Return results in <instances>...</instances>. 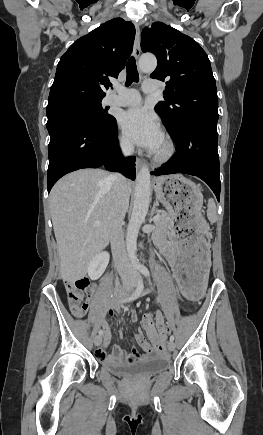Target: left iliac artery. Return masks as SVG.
I'll use <instances>...</instances> for the list:
<instances>
[{"label": "left iliac artery", "instance_id": "left-iliac-artery-1", "mask_svg": "<svg viewBox=\"0 0 263 435\" xmlns=\"http://www.w3.org/2000/svg\"><path fill=\"white\" fill-rule=\"evenodd\" d=\"M140 271H141V273H142L145 277H149V276H150L149 270L147 269L146 266L141 265V266H140ZM170 341H174V335H171V336H170Z\"/></svg>", "mask_w": 263, "mask_h": 435}]
</instances>
